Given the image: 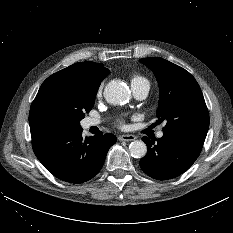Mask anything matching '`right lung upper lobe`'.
Here are the masks:
<instances>
[{
	"mask_svg": "<svg viewBox=\"0 0 233 233\" xmlns=\"http://www.w3.org/2000/svg\"><path fill=\"white\" fill-rule=\"evenodd\" d=\"M109 74V70L103 67L102 64L90 61L79 62L73 64L65 69H62L49 78H47L41 85L38 94L36 95L29 113V125L31 133L35 131L51 128L43 117L40 111V100L46 84L56 77H66L73 80L85 81L93 86L99 88L101 81Z\"/></svg>",
	"mask_w": 233,
	"mask_h": 233,
	"instance_id": "obj_1",
	"label": "right lung upper lobe"
}]
</instances>
